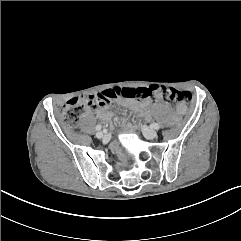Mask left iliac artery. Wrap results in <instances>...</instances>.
<instances>
[{"instance_id": "1", "label": "left iliac artery", "mask_w": 241, "mask_h": 241, "mask_svg": "<svg viewBox=\"0 0 241 241\" xmlns=\"http://www.w3.org/2000/svg\"><path fill=\"white\" fill-rule=\"evenodd\" d=\"M152 127L156 130L160 129V125L158 123H153Z\"/></svg>"}]
</instances>
